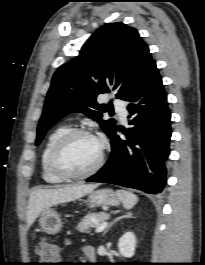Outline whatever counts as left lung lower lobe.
<instances>
[{
    "instance_id": "obj_1",
    "label": "left lung lower lobe",
    "mask_w": 205,
    "mask_h": 265,
    "mask_svg": "<svg viewBox=\"0 0 205 265\" xmlns=\"http://www.w3.org/2000/svg\"><path fill=\"white\" fill-rule=\"evenodd\" d=\"M133 128L123 131L127 140L110 136L112 152L106 165L88 182H103L161 193L166 183L165 161L171 137L167 95L156 64L126 99Z\"/></svg>"
}]
</instances>
